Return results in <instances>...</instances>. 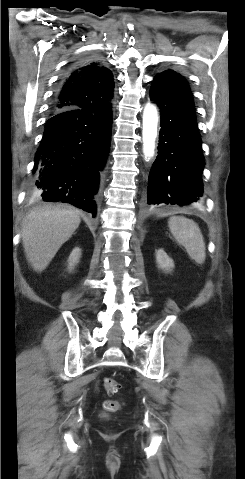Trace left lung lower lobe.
I'll list each match as a JSON object with an SVG mask.
<instances>
[{
  "mask_svg": "<svg viewBox=\"0 0 245 479\" xmlns=\"http://www.w3.org/2000/svg\"><path fill=\"white\" fill-rule=\"evenodd\" d=\"M150 98L160 108L161 129L147 203L190 206L202 197L204 158L189 85L180 74L155 77Z\"/></svg>",
  "mask_w": 245,
  "mask_h": 479,
  "instance_id": "obj_1",
  "label": "left lung lower lobe"
}]
</instances>
